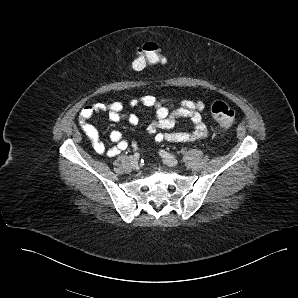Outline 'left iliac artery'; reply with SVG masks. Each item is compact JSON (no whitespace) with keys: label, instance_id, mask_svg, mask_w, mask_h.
<instances>
[{"label":"left iliac artery","instance_id":"44dca946","mask_svg":"<svg viewBox=\"0 0 298 298\" xmlns=\"http://www.w3.org/2000/svg\"><path fill=\"white\" fill-rule=\"evenodd\" d=\"M159 154H160L162 157H174V158H175V155H174V154L168 153V152H166L165 150H160V151H159Z\"/></svg>","mask_w":298,"mask_h":298}]
</instances>
